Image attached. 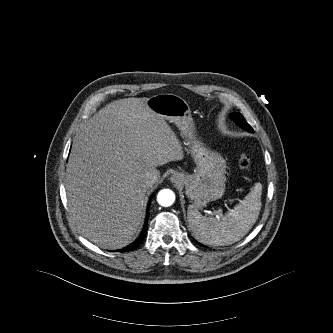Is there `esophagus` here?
<instances>
[{"label": "esophagus", "mask_w": 333, "mask_h": 333, "mask_svg": "<svg viewBox=\"0 0 333 333\" xmlns=\"http://www.w3.org/2000/svg\"><path fill=\"white\" fill-rule=\"evenodd\" d=\"M171 182L174 184H179L181 182V177L179 174H173L171 176Z\"/></svg>", "instance_id": "obj_1"}]
</instances>
